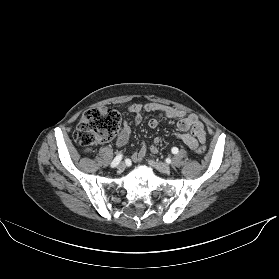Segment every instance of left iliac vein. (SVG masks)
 <instances>
[{"label": "left iliac vein", "mask_w": 279, "mask_h": 279, "mask_svg": "<svg viewBox=\"0 0 279 279\" xmlns=\"http://www.w3.org/2000/svg\"><path fill=\"white\" fill-rule=\"evenodd\" d=\"M149 163L161 173L167 174L171 171V167L166 163L160 161H154V160H149Z\"/></svg>", "instance_id": "1"}]
</instances>
